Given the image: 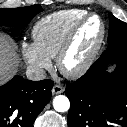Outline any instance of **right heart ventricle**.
Segmentation results:
<instances>
[{"instance_id": "obj_1", "label": "right heart ventricle", "mask_w": 127, "mask_h": 127, "mask_svg": "<svg viewBox=\"0 0 127 127\" xmlns=\"http://www.w3.org/2000/svg\"><path fill=\"white\" fill-rule=\"evenodd\" d=\"M86 14L85 10L68 9L43 17L32 30L35 45L49 59L55 58L73 25Z\"/></svg>"}]
</instances>
